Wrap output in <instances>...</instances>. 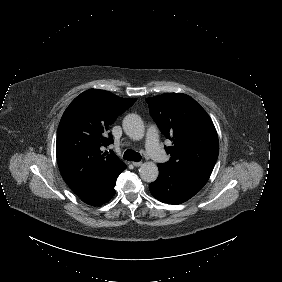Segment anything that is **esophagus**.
<instances>
[{"mask_svg": "<svg viewBox=\"0 0 282 282\" xmlns=\"http://www.w3.org/2000/svg\"><path fill=\"white\" fill-rule=\"evenodd\" d=\"M132 164L135 166V167H140L142 165V162H132Z\"/></svg>", "mask_w": 282, "mask_h": 282, "instance_id": "obj_1", "label": "esophagus"}]
</instances>
